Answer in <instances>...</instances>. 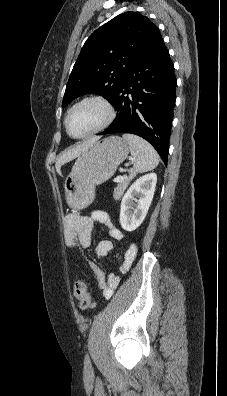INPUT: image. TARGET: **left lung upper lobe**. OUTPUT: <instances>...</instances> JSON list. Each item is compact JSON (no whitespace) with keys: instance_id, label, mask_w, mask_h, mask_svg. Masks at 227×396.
Masks as SVG:
<instances>
[{"instance_id":"obj_1","label":"left lung upper lobe","mask_w":227,"mask_h":396,"mask_svg":"<svg viewBox=\"0 0 227 396\" xmlns=\"http://www.w3.org/2000/svg\"><path fill=\"white\" fill-rule=\"evenodd\" d=\"M162 36L138 12H125L87 39L68 80L62 106L80 95H102L112 103L128 72Z\"/></svg>"}]
</instances>
